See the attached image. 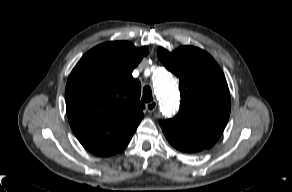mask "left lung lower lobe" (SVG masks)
Here are the masks:
<instances>
[{
  "label": "left lung lower lobe",
  "mask_w": 292,
  "mask_h": 192,
  "mask_svg": "<svg viewBox=\"0 0 292 192\" xmlns=\"http://www.w3.org/2000/svg\"><path fill=\"white\" fill-rule=\"evenodd\" d=\"M167 140L173 147L183 152L191 153V152H198V151L203 150L202 148L192 146L183 142H179L170 138H167Z\"/></svg>",
  "instance_id": "1"
}]
</instances>
